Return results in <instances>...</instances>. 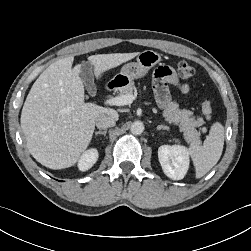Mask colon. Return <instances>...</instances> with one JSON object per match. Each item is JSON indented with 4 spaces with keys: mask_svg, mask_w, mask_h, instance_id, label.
<instances>
[{
    "mask_svg": "<svg viewBox=\"0 0 251 251\" xmlns=\"http://www.w3.org/2000/svg\"><path fill=\"white\" fill-rule=\"evenodd\" d=\"M178 74L183 79H189L194 76L195 69L188 62L181 61L177 67ZM201 109L206 119H210L212 117L213 109L211 101L208 97L204 98L201 102Z\"/></svg>",
    "mask_w": 251,
    "mask_h": 251,
    "instance_id": "1",
    "label": "colon"
}]
</instances>
